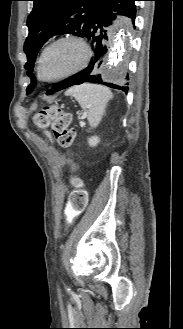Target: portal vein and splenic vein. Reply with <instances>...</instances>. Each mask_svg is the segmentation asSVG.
<instances>
[{"label": "portal vein and splenic vein", "mask_w": 183, "mask_h": 329, "mask_svg": "<svg viewBox=\"0 0 183 329\" xmlns=\"http://www.w3.org/2000/svg\"><path fill=\"white\" fill-rule=\"evenodd\" d=\"M81 118L84 119L85 118V115H83Z\"/></svg>", "instance_id": "obj_1"}]
</instances>
